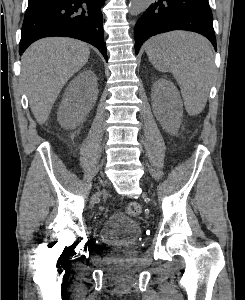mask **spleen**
Segmentation results:
<instances>
[{"instance_id":"3e777b00","label":"spleen","mask_w":245,"mask_h":300,"mask_svg":"<svg viewBox=\"0 0 245 300\" xmlns=\"http://www.w3.org/2000/svg\"><path fill=\"white\" fill-rule=\"evenodd\" d=\"M146 53L154 67L176 78L190 115L205 107L213 71V54L200 35L174 31L147 41Z\"/></svg>"}]
</instances>
